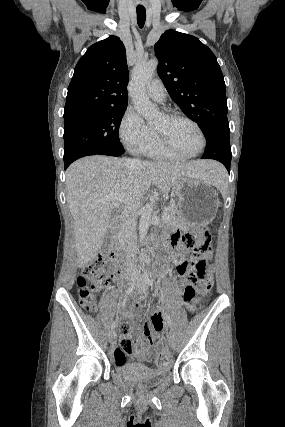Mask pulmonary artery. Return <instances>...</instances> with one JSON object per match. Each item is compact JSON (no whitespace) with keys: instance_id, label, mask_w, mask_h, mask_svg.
<instances>
[{"instance_id":"e3ab8cb5","label":"pulmonary artery","mask_w":285,"mask_h":427,"mask_svg":"<svg viewBox=\"0 0 285 427\" xmlns=\"http://www.w3.org/2000/svg\"><path fill=\"white\" fill-rule=\"evenodd\" d=\"M147 95L158 103H163L166 98L165 89L160 79L155 78L147 85Z\"/></svg>"}]
</instances>
